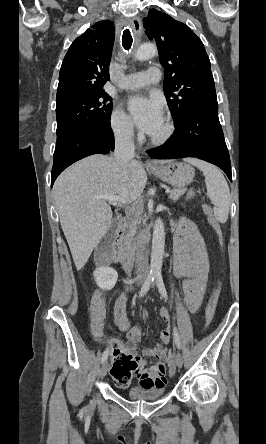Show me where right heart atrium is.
Returning a JSON list of instances; mask_svg holds the SVG:
<instances>
[{"label": "right heart atrium", "instance_id": "right-heart-atrium-1", "mask_svg": "<svg viewBox=\"0 0 266 444\" xmlns=\"http://www.w3.org/2000/svg\"><path fill=\"white\" fill-rule=\"evenodd\" d=\"M114 136L122 141H130L134 137V126L130 117L121 109L116 108L110 119Z\"/></svg>", "mask_w": 266, "mask_h": 444}]
</instances>
